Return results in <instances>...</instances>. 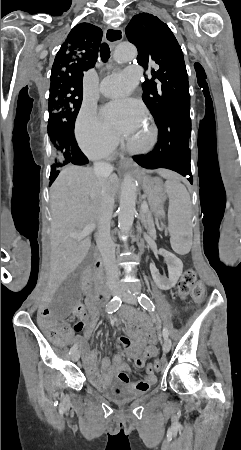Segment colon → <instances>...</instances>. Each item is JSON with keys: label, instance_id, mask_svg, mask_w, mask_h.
<instances>
[{"label": "colon", "instance_id": "colon-1", "mask_svg": "<svg viewBox=\"0 0 241 450\" xmlns=\"http://www.w3.org/2000/svg\"><path fill=\"white\" fill-rule=\"evenodd\" d=\"M193 295L192 304L194 306H206L208 299L204 297V286L201 280H197V275L194 270L186 271L178 285V295L181 298H187ZM85 303L80 301L75 308L77 314L83 315L85 313ZM155 367H160V362H155Z\"/></svg>", "mask_w": 241, "mask_h": 450}]
</instances>
